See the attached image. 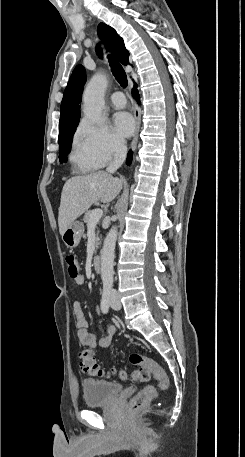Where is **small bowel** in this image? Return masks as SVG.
<instances>
[{
  "instance_id": "c3829d8e",
  "label": "small bowel",
  "mask_w": 245,
  "mask_h": 457,
  "mask_svg": "<svg viewBox=\"0 0 245 457\" xmlns=\"http://www.w3.org/2000/svg\"><path fill=\"white\" fill-rule=\"evenodd\" d=\"M74 280L76 283L81 284L84 281V276L79 274L74 278ZM72 309L75 325L77 328V337L80 343L83 346L90 348H108L112 343L115 334V327L108 326L106 328L105 334L100 338H97V336L89 329V324L84 316L81 303L79 301H75L73 303Z\"/></svg>"
}]
</instances>
